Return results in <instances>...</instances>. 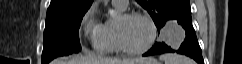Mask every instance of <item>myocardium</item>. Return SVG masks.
<instances>
[{
	"mask_svg": "<svg viewBox=\"0 0 242 64\" xmlns=\"http://www.w3.org/2000/svg\"><path fill=\"white\" fill-rule=\"evenodd\" d=\"M123 19H132V18H140L145 20L151 29V34L149 37L148 42L141 48H130L128 47L125 42L123 41L122 34H121V28L117 21L116 24V38H117V44L119 49L129 55H139L147 52L151 47L154 45L156 37H157V27L154 22V20L147 14L141 13V12H131V13H125L121 16Z\"/></svg>",
	"mask_w": 242,
	"mask_h": 64,
	"instance_id": "f54148a6",
	"label": "myocardium"
}]
</instances>
